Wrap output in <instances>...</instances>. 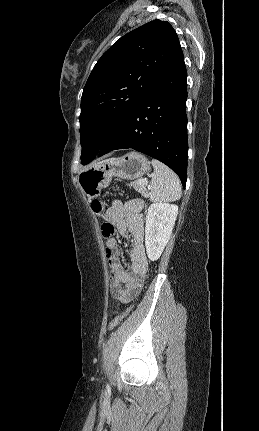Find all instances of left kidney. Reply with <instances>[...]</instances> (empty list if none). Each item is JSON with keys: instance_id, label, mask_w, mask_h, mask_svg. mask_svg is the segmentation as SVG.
<instances>
[{"instance_id": "5707ae66", "label": "left kidney", "mask_w": 259, "mask_h": 431, "mask_svg": "<svg viewBox=\"0 0 259 431\" xmlns=\"http://www.w3.org/2000/svg\"><path fill=\"white\" fill-rule=\"evenodd\" d=\"M178 206L168 203H153L146 215L145 246L148 258L156 261L160 258L170 239Z\"/></svg>"}]
</instances>
